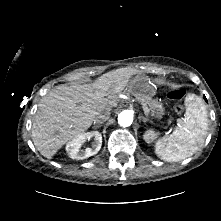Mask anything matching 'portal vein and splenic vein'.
<instances>
[{
    "label": "portal vein and splenic vein",
    "instance_id": "portal-vein-and-splenic-vein-1",
    "mask_svg": "<svg viewBox=\"0 0 221 221\" xmlns=\"http://www.w3.org/2000/svg\"><path fill=\"white\" fill-rule=\"evenodd\" d=\"M141 105H142V108H143V110H144V113H145L146 115H148L149 112H150L149 108H148L145 104H141Z\"/></svg>",
    "mask_w": 221,
    "mask_h": 221
}]
</instances>
